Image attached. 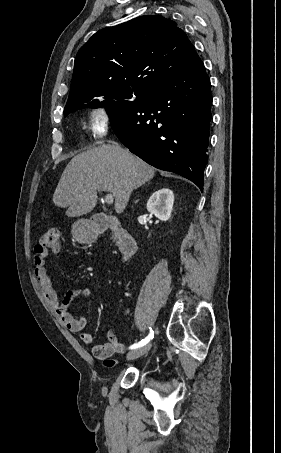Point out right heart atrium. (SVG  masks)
I'll return each mask as SVG.
<instances>
[{"label":"right heart atrium","instance_id":"1","mask_svg":"<svg viewBox=\"0 0 281 453\" xmlns=\"http://www.w3.org/2000/svg\"><path fill=\"white\" fill-rule=\"evenodd\" d=\"M112 123V114L106 107L93 106L88 110L85 126L91 138L95 140L103 138L108 133ZM89 156L97 158L99 154L93 151Z\"/></svg>","mask_w":281,"mask_h":453}]
</instances>
